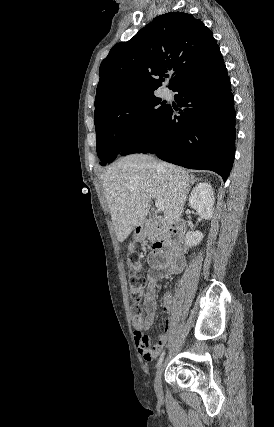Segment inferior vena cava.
Segmentation results:
<instances>
[{
	"mask_svg": "<svg viewBox=\"0 0 274 427\" xmlns=\"http://www.w3.org/2000/svg\"><path fill=\"white\" fill-rule=\"evenodd\" d=\"M157 168H162L161 164H158Z\"/></svg>",
	"mask_w": 274,
	"mask_h": 427,
	"instance_id": "inferior-vena-cava-1",
	"label": "inferior vena cava"
}]
</instances>
